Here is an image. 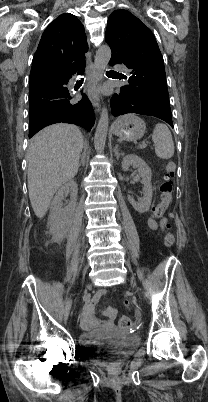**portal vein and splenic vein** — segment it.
Instances as JSON below:
<instances>
[{
	"label": "portal vein and splenic vein",
	"instance_id": "portal-vein-and-splenic-vein-1",
	"mask_svg": "<svg viewBox=\"0 0 208 402\" xmlns=\"http://www.w3.org/2000/svg\"><path fill=\"white\" fill-rule=\"evenodd\" d=\"M131 148H136V145H131ZM141 148L146 149L147 145L145 144V142H142Z\"/></svg>",
	"mask_w": 208,
	"mask_h": 402
}]
</instances>
